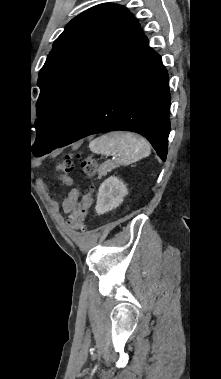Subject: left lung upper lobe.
Returning <instances> with one entry per match:
<instances>
[{"instance_id":"obj_1","label":"left lung upper lobe","mask_w":221,"mask_h":379,"mask_svg":"<svg viewBox=\"0 0 221 379\" xmlns=\"http://www.w3.org/2000/svg\"><path fill=\"white\" fill-rule=\"evenodd\" d=\"M146 44L140 25L123 6L104 3L73 18L39 73L33 155L54 150Z\"/></svg>"}]
</instances>
